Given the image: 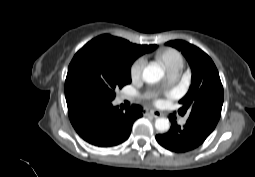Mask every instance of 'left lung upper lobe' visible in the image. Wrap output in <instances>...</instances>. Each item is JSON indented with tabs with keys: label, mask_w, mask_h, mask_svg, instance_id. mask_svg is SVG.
Masks as SVG:
<instances>
[{
	"label": "left lung upper lobe",
	"mask_w": 255,
	"mask_h": 177,
	"mask_svg": "<svg viewBox=\"0 0 255 177\" xmlns=\"http://www.w3.org/2000/svg\"><path fill=\"white\" fill-rule=\"evenodd\" d=\"M187 59L192 70V84L179 101L180 115L189 114L188 123L213 131L220 119L224 100L223 86L212 59L198 47L182 40L169 41Z\"/></svg>",
	"instance_id": "left-lung-upper-lobe-1"
}]
</instances>
